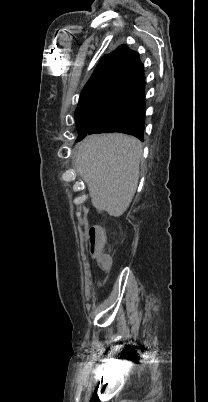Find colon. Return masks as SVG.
Returning a JSON list of instances; mask_svg holds the SVG:
<instances>
[{
    "label": "colon",
    "instance_id": "colon-1",
    "mask_svg": "<svg viewBox=\"0 0 208 402\" xmlns=\"http://www.w3.org/2000/svg\"><path fill=\"white\" fill-rule=\"evenodd\" d=\"M91 239H93L91 244L92 248L90 249L91 258L95 259V263H100L99 267L101 270H108L113 259L108 250H100L102 245L106 243V238L102 232H96V230L93 229L91 231Z\"/></svg>",
    "mask_w": 208,
    "mask_h": 402
}]
</instances>
